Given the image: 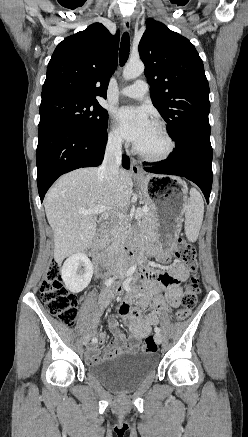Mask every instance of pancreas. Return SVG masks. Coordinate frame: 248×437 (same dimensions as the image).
I'll list each match as a JSON object with an SVG mask.
<instances>
[{
	"mask_svg": "<svg viewBox=\"0 0 248 437\" xmlns=\"http://www.w3.org/2000/svg\"><path fill=\"white\" fill-rule=\"evenodd\" d=\"M142 224L144 225L145 229L147 230V232L152 235L153 234V230L155 228V224H156V217L154 215V211L151 209V207L149 206V210L148 212L143 216L142 219ZM127 229L128 226L126 224H121L118 227V233L113 234L110 238H108L106 240L105 246L107 251L112 254L116 248V246L118 245L120 240H124L126 235H127Z\"/></svg>",
	"mask_w": 248,
	"mask_h": 437,
	"instance_id": "cf45deb5",
	"label": "pancreas"
}]
</instances>
